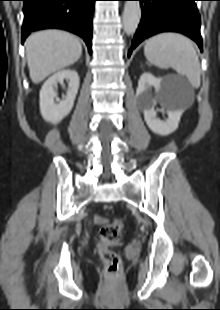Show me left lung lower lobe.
<instances>
[{"label": "left lung lower lobe", "instance_id": "1", "mask_svg": "<svg viewBox=\"0 0 220 310\" xmlns=\"http://www.w3.org/2000/svg\"><path fill=\"white\" fill-rule=\"evenodd\" d=\"M142 7V19L134 35L131 50L143 40L161 33L178 32L194 40L201 51V19L197 0H138ZM131 50L128 56L131 55Z\"/></svg>", "mask_w": 220, "mask_h": 310}]
</instances>
